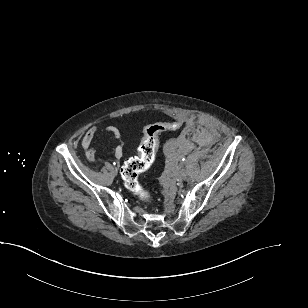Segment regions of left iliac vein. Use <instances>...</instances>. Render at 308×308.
<instances>
[{
    "label": "left iliac vein",
    "instance_id": "1",
    "mask_svg": "<svg viewBox=\"0 0 308 308\" xmlns=\"http://www.w3.org/2000/svg\"><path fill=\"white\" fill-rule=\"evenodd\" d=\"M186 171L185 170H180L177 174H176V178L178 181H184L186 179Z\"/></svg>",
    "mask_w": 308,
    "mask_h": 308
}]
</instances>
